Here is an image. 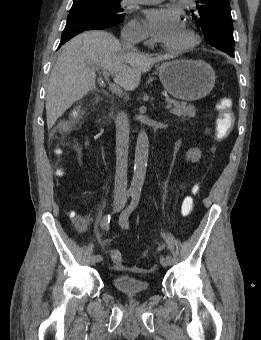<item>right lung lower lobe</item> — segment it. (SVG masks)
I'll use <instances>...</instances> for the list:
<instances>
[{"label":"right lung lower lobe","mask_w":261,"mask_h":340,"mask_svg":"<svg viewBox=\"0 0 261 340\" xmlns=\"http://www.w3.org/2000/svg\"><path fill=\"white\" fill-rule=\"evenodd\" d=\"M114 26L116 25L110 23L109 21L102 20L100 17L92 13L84 11L70 12L59 46L80 32L86 30H101Z\"/></svg>","instance_id":"right-lung-lower-lobe-1"}]
</instances>
